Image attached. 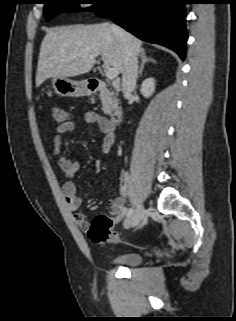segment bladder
<instances>
[{
  "label": "bladder",
  "mask_w": 236,
  "mask_h": 321,
  "mask_svg": "<svg viewBox=\"0 0 236 321\" xmlns=\"http://www.w3.org/2000/svg\"><path fill=\"white\" fill-rule=\"evenodd\" d=\"M143 260V255L137 251H131L124 254H121L111 260L112 263L123 265V266H137Z\"/></svg>",
  "instance_id": "1"
}]
</instances>
